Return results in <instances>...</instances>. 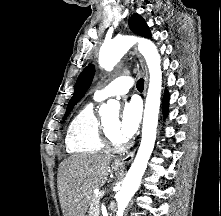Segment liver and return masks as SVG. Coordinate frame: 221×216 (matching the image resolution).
Here are the masks:
<instances>
[{
    "label": "liver",
    "mask_w": 221,
    "mask_h": 216,
    "mask_svg": "<svg viewBox=\"0 0 221 216\" xmlns=\"http://www.w3.org/2000/svg\"><path fill=\"white\" fill-rule=\"evenodd\" d=\"M111 157L77 154L59 166L58 195L63 216H86L93 190L105 183Z\"/></svg>",
    "instance_id": "liver-1"
}]
</instances>
